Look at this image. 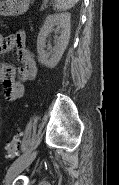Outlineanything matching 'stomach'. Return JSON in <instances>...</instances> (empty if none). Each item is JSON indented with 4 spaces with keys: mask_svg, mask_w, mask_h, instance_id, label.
<instances>
[{
    "mask_svg": "<svg viewBox=\"0 0 119 185\" xmlns=\"http://www.w3.org/2000/svg\"><path fill=\"white\" fill-rule=\"evenodd\" d=\"M32 0H2L0 1V15L15 16L23 14L29 8Z\"/></svg>",
    "mask_w": 119,
    "mask_h": 185,
    "instance_id": "stomach-1",
    "label": "stomach"
}]
</instances>
